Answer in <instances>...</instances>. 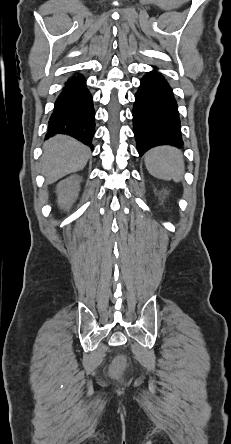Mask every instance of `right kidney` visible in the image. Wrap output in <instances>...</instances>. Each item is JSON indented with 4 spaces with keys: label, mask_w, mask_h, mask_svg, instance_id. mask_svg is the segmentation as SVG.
Returning <instances> with one entry per match:
<instances>
[{
    "label": "right kidney",
    "mask_w": 231,
    "mask_h": 444,
    "mask_svg": "<svg viewBox=\"0 0 231 444\" xmlns=\"http://www.w3.org/2000/svg\"><path fill=\"white\" fill-rule=\"evenodd\" d=\"M80 181V177L75 175L58 183L56 192L58 194V204L61 208H69L76 200L80 191Z\"/></svg>",
    "instance_id": "ca27d5eb"
}]
</instances>
